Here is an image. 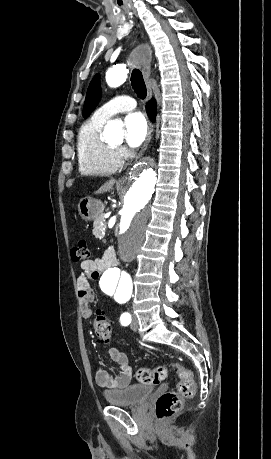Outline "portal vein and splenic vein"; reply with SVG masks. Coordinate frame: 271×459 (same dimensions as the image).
Segmentation results:
<instances>
[{
  "instance_id": "18ae733b",
  "label": "portal vein and splenic vein",
  "mask_w": 271,
  "mask_h": 459,
  "mask_svg": "<svg viewBox=\"0 0 271 459\" xmlns=\"http://www.w3.org/2000/svg\"><path fill=\"white\" fill-rule=\"evenodd\" d=\"M106 226H107V223H104L103 228H106Z\"/></svg>"
}]
</instances>
